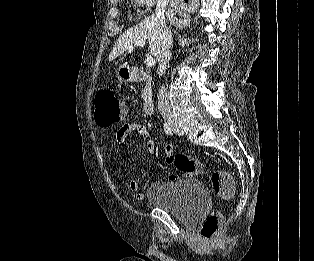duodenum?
Listing matches in <instances>:
<instances>
[{
    "label": "duodenum",
    "mask_w": 314,
    "mask_h": 261,
    "mask_svg": "<svg viewBox=\"0 0 314 261\" xmlns=\"http://www.w3.org/2000/svg\"><path fill=\"white\" fill-rule=\"evenodd\" d=\"M132 80L137 83H143L150 81V76L142 71H134L132 73ZM154 110V100L152 97V94L148 91L146 92L144 99H143V105H142V111L145 115H151Z\"/></svg>",
    "instance_id": "obj_1"
}]
</instances>
